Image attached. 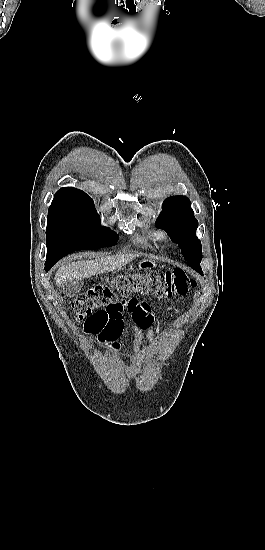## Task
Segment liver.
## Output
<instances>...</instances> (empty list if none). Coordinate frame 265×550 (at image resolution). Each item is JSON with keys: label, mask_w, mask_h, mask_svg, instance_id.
Masks as SVG:
<instances>
[{"label": "liver", "mask_w": 265, "mask_h": 550, "mask_svg": "<svg viewBox=\"0 0 265 550\" xmlns=\"http://www.w3.org/2000/svg\"><path fill=\"white\" fill-rule=\"evenodd\" d=\"M136 258V255L104 256L95 260H79L62 265L56 272L55 282L58 287L63 286L67 281L83 280L95 274L108 273Z\"/></svg>", "instance_id": "obj_1"}]
</instances>
